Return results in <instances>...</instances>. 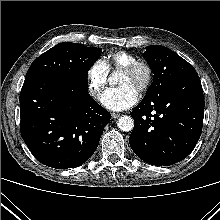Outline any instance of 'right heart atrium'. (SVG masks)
Segmentation results:
<instances>
[{"label": "right heart atrium", "mask_w": 220, "mask_h": 220, "mask_svg": "<svg viewBox=\"0 0 220 220\" xmlns=\"http://www.w3.org/2000/svg\"><path fill=\"white\" fill-rule=\"evenodd\" d=\"M109 68L105 60H95L87 70V82L90 94L99 99L107 85Z\"/></svg>", "instance_id": "right-heart-atrium-1"}]
</instances>
